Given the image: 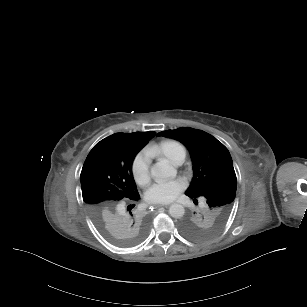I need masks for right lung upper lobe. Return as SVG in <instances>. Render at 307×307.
Instances as JSON below:
<instances>
[{"mask_svg": "<svg viewBox=\"0 0 307 307\" xmlns=\"http://www.w3.org/2000/svg\"><path fill=\"white\" fill-rule=\"evenodd\" d=\"M154 135L155 132L115 133L97 143L88 154L82 169L92 166L116 186L112 196L87 204L102 230L133 239L146 231L149 217L140 204L131 168L136 154Z\"/></svg>", "mask_w": 307, "mask_h": 307, "instance_id": "cb5924a9", "label": "right lung upper lobe"}]
</instances>
